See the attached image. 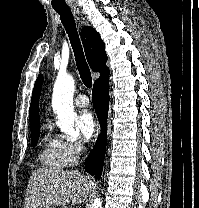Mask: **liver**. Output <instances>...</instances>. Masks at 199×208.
<instances>
[{"label": "liver", "mask_w": 199, "mask_h": 208, "mask_svg": "<svg viewBox=\"0 0 199 208\" xmlns=\"http://www.w3.org/2000/svg\"><path fill=\"white\" fill-rule=\"evenodd\" d=\"M93 188L92 179L78 171L37 169L30 176L24 208L81 204Z\"/></svg>", "instance_id": "liver-1"}]
</instances>
